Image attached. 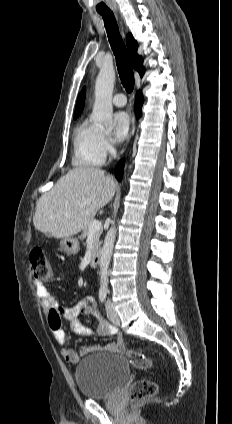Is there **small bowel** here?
<instances>
[{"label":"small bowel","instance_id":"obj_1","mask_svg":"<svg viewBox=\"0 0 232 424\" xmlns=\"http://www.w3.org/2000/svg\"><path fill=\"white\" fill-rule=\"evenodd\" d=\"M35 288L40 305L48 314V325L53 333L56 342L61 346V354L64 359L71 363H77L80 357L96 352L121 353L124 351V343L117 328L102 318L95 307L94 299L85 298L74 306L59 307L53 292L40 281H35ZM80 314L86 315L93 319L97 324V334L103 337L118 334L115 342L105 346L90 345L82 346L79 351H75L67 346V335L63 327V321L70 324L71 329L78 335L90 336L92 330L82 324L78 319Z\"/></svg>","mask_w":232,"mask_h":424}]
</instances>
